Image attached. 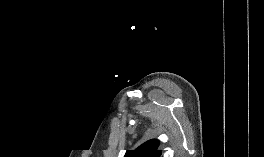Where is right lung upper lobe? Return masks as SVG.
Here are the masks:
<instances>
[{"label":"right lung upper lobe","instance_id":"cb5924a9","mask_svg":"<svg viewBox=\"0 0 264 157\" xmlns=\"http://www.w3.org/2000/svg\"><path fill=\"white\" fill-rule=\"evenodd\" d=\"M158 144V140H149L135 150H128L124 157H161Z\"/></svg>","mask_w":264,"mask_h":157}]
</instances>
